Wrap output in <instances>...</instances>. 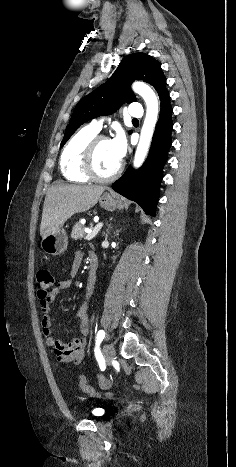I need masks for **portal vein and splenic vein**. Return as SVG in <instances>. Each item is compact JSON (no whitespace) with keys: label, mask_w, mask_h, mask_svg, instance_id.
Wrapping results in <instances>:
<instances>
[{"label":"portal vein and splenic vein","mask_w":236,"mask_h":467,"mask_svg":"<svg viewBox=\"0 0 236 467\" xmlns=\"http://www.w3.org/2000/svg\"><path fill=\"white\" fill-rule=\"evenodd\" d=\"M102 226H103L102 223H98V224L94 227L93 230H88V232H87L88 234H87V236H86V239H87V240L93 239V238L97 235V233L101 230Z\"/></svg>","instance_id":"1"}]
</instances>
